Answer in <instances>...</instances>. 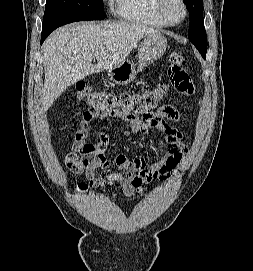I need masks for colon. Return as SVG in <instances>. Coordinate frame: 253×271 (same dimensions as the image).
I'll list each match as a JSON object with an SVG mask.
<instances>
[{
	"instance_id": "1",
	"label": "colon",
	"mask_w": 253,
	"mask_h": 271,
	"mask_svg": "<svg viewBox=\"0 0 253 271\" xmlns=\"http://www.w3.org/2000/svg\"><path fill=\"white\" fill-rule=\"evenodd\" d=\"M170 62L169 75L176 89L185 95L192 94L193 84L183 71L186 66L184 57L178 52H173L170 55ZM166 91V85L157 84L142 92L112 94L93 91L89 85L80 83L76 86L75 97L79 101H87L93 112L100 115L114 111L147 114L159 105Z\"/></svg>"
}]
</instances>
